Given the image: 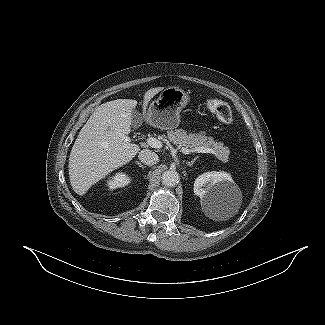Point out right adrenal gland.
I'll return each mask as SVG.
<instances>
[{"mask_svg": "<svg viewBox=\"0 0 325 325\" xmlns=\"http://www.w3.org/2000/svg\"><path fill=\"white\" fill-rule=\"evenodd\" d=\"M135 163L139 166V167H142V168H145L146 166H144L143 164H141L139 161H135Z\"/></svg>", "mask_w": 325, "mask_h": 325, "instance_id": "obj_1", "label": "right adrenal gland"}]
</instances>
